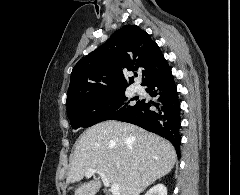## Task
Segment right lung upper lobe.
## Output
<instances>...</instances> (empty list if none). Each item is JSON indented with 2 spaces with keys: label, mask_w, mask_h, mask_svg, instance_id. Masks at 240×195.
Returning <instances> with one entry per match:
<instances>
[{
  "label": "right lung upper lobe",
  "mask_w": 240,
  "mask_h": 195,
  "mask_svg": "<svg viewBox=\"0 0 240 195\" xmlns=\"http://www.w3.org/2000/svg\"><path fill=\"white\" fill-rule=\"evenodd\" d=\"M170 70L159 46L136 25H125L74 66L67 105L84 97L109 95L128 86L124 71H139L142 86ZM136 74V73H135ZM133 83V78H129Z\"/></svg>",
  "instance_id": "right-lung-upper-lobe-1"
}]
</instances>
